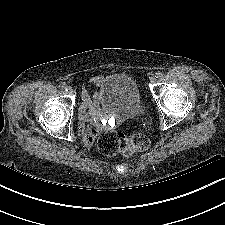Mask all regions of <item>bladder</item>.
Instances as JSON below:
<instances>
[{
    "mask_svg": "<svg viewBox=\"0 0 225 225\" xmlns=\"http://www.w3.org/2000/svg\"><path fill=\"white\" fill-rule=\"evenodd\" d=\"M97 97L104 110L124 118H135L145 111L138 86L127 74L106 76L99 85Z\"/></svg>",
    "mask_w": 225,
    "mask_h": 225,
    "instance_id": "bladder-1",
    "label": "bladder"
}]
</instances>
